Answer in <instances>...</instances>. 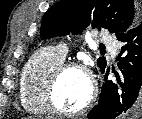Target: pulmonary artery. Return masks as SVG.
Returning a JSON list of instances; mask_svg holds the SVG:
<instances>
[{
    "mask_svg": "<svg viewBox=\"0 0 142 119\" xmlns=\"http://www.w3.org/2000/svg\"><path fill=\"white\" fill-rule=\"evenodd\" d=\"M100 41L107 45L108 47H111L112 49V53H113V56L116 55V42L113 38H111L107 33L105 32H102L100 34ZM56 51L58 52V54L62 57V58H65L68 50L66 48L65 45H59L57 48H56Z\"/></svg>",
    "mask_w": 142,
    "mask_h": 119,
    "instance_id": "e3ab8cb5",
    "label": "pulmonary artery"
}]
</instances>
